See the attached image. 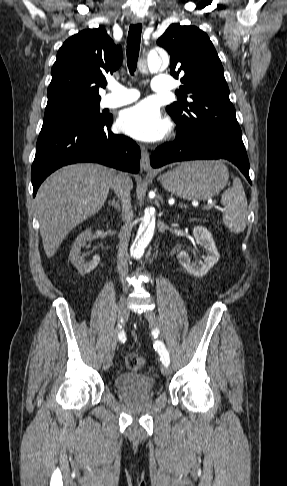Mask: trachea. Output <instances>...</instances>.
<instances>
[{"mask_svg": "<svg viewBox=\"0 0 287 486\" xmlns=\"http://www.w3.org/2000/svg\"><path fill=\"white\" fill-rule=\"evenodd\" d=\"M142 25L135 24L131 25L128 32L127 38V65L129 72L133 75L136 71L137 61L140 50V40H141Z\"/></svg>", "mask_w": 287, "mask_h": 486, "instance_id": "3493384b", "label": "trachea"}]
</instances>
